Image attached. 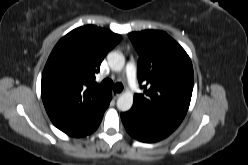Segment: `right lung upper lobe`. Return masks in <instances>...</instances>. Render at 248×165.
I'll return each instance as SVG.
<instances>
[{"label": "right lung upper lobe", "mask_w": 248, "mask_h": 165, "mask_svg": "<svg viewBox=\"0 0 248 165\" xmlns=\"http://www.w3.org/2000/svg\"><path fill=\"white\" fill-rule=\"evenodd\" d=\"M121 36L94 25L78 27L54 47L45 65L41 96L53 124L67 133L95 118L111 92L95 82V73Z\"/></svg>", "instance_id": "obj_1"}]
</instances>
